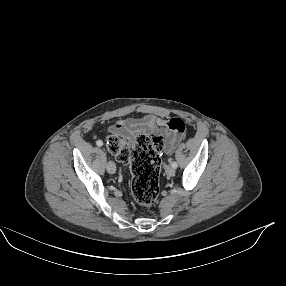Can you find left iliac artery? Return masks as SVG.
<instances>
[{"mask_svg":"<svg viewBox=\"0 0 286 286\" xmlns=\"http://www.w3.org/2000/svg\"><path fill=\"white\" fill-rule=\"evenodd\" d=\"M171 165H172L173 168H177L178 167V164L175 161L171 162Z\"/></svg>","mask_w":286,"mask_h":286,"instance_id":"44dca946","label":"left iliac artery"}]
</instances>
